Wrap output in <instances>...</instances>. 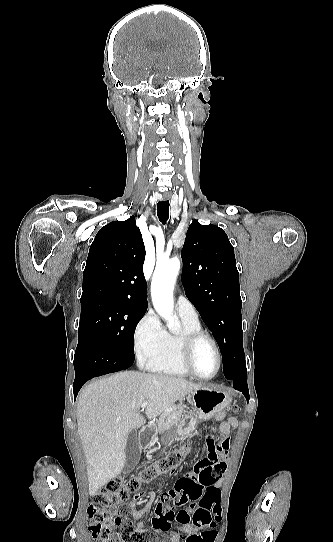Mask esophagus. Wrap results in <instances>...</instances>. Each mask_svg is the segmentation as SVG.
<instances>
[{
  "mask_svg": "<svg viewBox=\"0 0 333 542\" xmlns=\"http://www.w3.org/2000/svg\"><path fill=\"white\" fill-rule=\"evenodd\" d=\"M170 197H171V193H169V192H164V193H163V199H164V200H167V199H169Z\"/></svg>",
  "mask_w": 333,
  "mask_h": 542,
  "instance_id": "esophagus-1",
  "label": "esophagus"
}]
</instances>
